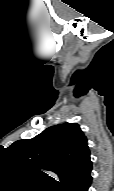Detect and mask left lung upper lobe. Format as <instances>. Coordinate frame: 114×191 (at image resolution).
Returning <instances> with one entry per match:
<instances>
[{"label":"left lung upper lobe","instance_id":"left-lung-upper-lobe-1","mask_svg":"<svg viewBox=\"0 0 114 191\" xmlns=\"http://www.w3.org/2000/svg\"><path fill=\"white\" fill-rule=\"evenodd\" d=\"M8 151L19 163L42 174L41 169L56 173L59 187L90 158L87 138L77 123L51 126L32 139L14 142Z\"/></svg>","mask_w":114,"mask_h":191}]
</instances>
